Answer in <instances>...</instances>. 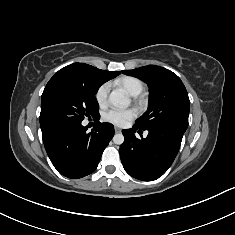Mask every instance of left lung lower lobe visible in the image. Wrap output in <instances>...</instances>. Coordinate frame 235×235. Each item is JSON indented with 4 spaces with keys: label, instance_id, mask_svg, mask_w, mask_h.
<instances>
[{
    "label": "left lung lower lobe",
    "instance_id": "left-lung-lower-lobe-1",
    "mask_svg": "<svg viewBox=\"0 0 235 235\" xmlns=\"http://www.w3.org/2000/svg\"><path fill=\"white\" fill-rule=\"evenodd\" d=\"M133 128L122 131L125 138L120 146L123 167L129 175L139 180H156L173 163L184 132L170 127L145 129L149 132L147 137L137 139L134 133L140 128Z\"/></svg>",
    "mask_w": 235,
    "mask_h": 235
}]
</instances>
